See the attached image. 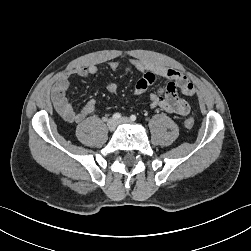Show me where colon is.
<instances>
[{
  "label": "colon",
  "instance_id": "colon-1",
  "mask_svg": "<svg viewBox=\"0 0 251 251\" xmlns=\"http://www.w3.org/2000/svg\"><path fill=\"white\" fill-rule=\"evenodd\" d=\"M184 126H185L187 129H191V128L194 126V120H193V118H191V117L187 118V119L184 121Z\"/></svg>",
  "mask_w": 251,
  "mask_h": 251
}]
</instances>
